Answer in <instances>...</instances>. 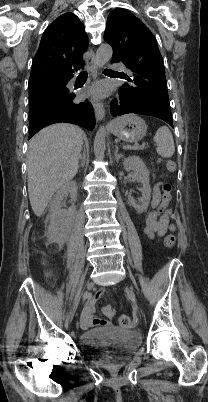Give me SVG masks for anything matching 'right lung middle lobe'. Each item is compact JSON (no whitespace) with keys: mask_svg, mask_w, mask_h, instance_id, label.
<instances>
[{"mask_svg":"<svg viewBox=\"0 0 208 402\" xmlns=\"http://www.w3.org/2000/svg\"><path fill=\"white\" fill-rule=\"evenodd\" d=\"M69 81V79L65 80ZM72 93L63 85L45 84L37 90H29V119L33 123L44 112L71 102Z\"/></svg>","mask_w":208,"mask_h":402,"instance_id":"obj_1","label":"right lung middle lobe"}]
</instances>
